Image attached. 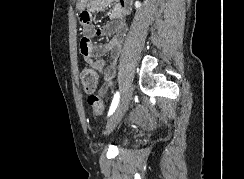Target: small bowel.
<instances>
[{
	"mask_svg": "<svg viewBox=\"0 0 244 179\" xmlns=\"http://www.w3.org/2000/svg\"><path fill=\"white\" fill-rule=\"evenodd\" d=\"M85 18H79L81 26L80 52L84 62L92 69L98 71L103 76V84L100 94L103 95L111 87L115 77L118 60L123 53V44L127 35L126 24L127 4L122 1L113 2L110 0H92L86 3ZM112 6L111 20L97 28H92L91 23L94 15L104 12ZM94 36L111 37L106 43L92 44L91 38ZM110 55L107 63L104 56ZM137 115H146V110H137ZM146 121V116H131V121ZM150 126L155 122L150 121Z\"/></svg>",
	"mask_w": 244,
	"mask_h": 179,
	"instance_id": "1",
	"label": "small bowel"
}]
</instances>
